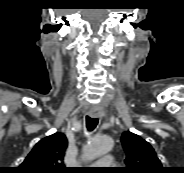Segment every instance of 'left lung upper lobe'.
<instances>
[{"mask_svg": "<svg viewBox=\"0 0 184 173\" xmlns=\"http://www.w3.org/2000/svg\"><path fill=\"white\" fill-rule=\"evenodd\" d=\"M126 153L121 173H164V168L151 145L132 132H124L121 138Z\"/></svg>", "mask_w": 184, "mask_h": 173, "instance_id": "1", "label": "left lung upper lobe"}]
</instances>
